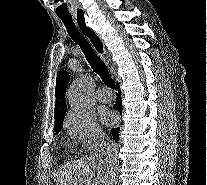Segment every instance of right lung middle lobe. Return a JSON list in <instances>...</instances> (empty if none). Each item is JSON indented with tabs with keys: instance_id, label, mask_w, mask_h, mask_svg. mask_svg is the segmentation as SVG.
Listing matches in <instances>:
<instances>
[{
	"instance_id": "obj_1",
	"label": "right lung middle lobe",
	"mask_w": 207,
	"mask_h": 185,
	"mask_svg": "<svg viewBox=\"0 0 207 185\" xmlns=\"http://www.w3.org/2000/svg\"><path fill=\"white\" fill-rule=\"evenodd\" d=\"M60 129H61V127L56 128V129H55L56 133H59Z\"/></svg>"
}]
</instances>
